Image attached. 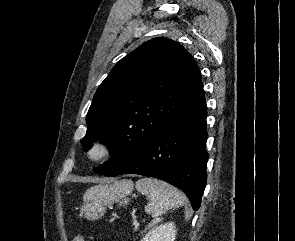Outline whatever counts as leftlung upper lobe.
<instances>
[{
	"mask_svg": "<svg viewBox=\"0 0 295 241\" xmlns=\"http://www.w3.org/2000/svg\"><path fill=\"white\" fill-rule=\"evenodd\" d=\"M204 100L201 73L182 45L165 37L145 42L115 65L94 95L81 144L87 150L101 140L112 154L94 171L108 176Z\"/></svg>",
	"mask_w": 295,
	"mask_h": 241,
	"instance_id": "left-lung-upper-lobe-1",
	"label": "left lung upper lobe"
}]
</instances>
